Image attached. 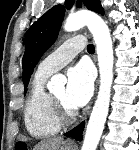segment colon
<instances>
[{
	"mask_svg": "<svg viewBox=\"0 0 139 150\" xmlns=\"http://www.w3.org/2000/svg\"><path fill=\"white\" fill-rule=\"evenodd\" d=\"M16 150H27L26 146L22 145V144H18L16 146Z\"/></svg>",
	"mask_w": 139,
	"mask_h": 150,
	"instance_id": "1",
	"label": "colon"
}]
</instances>
